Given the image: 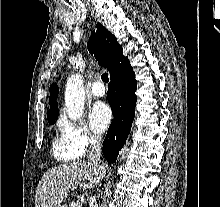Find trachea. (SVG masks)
Returning <instances> with one entry per match:
<instances>
[{"instance_id": "1", "label": "trachea", "mask_w": 220, "mask_h": 207, "mask_svg": "<svg viewBox=\"0 0 220 207\" xmlns=\"http://www.w3.org/2000/svg\"><path fill=\"white\" fill-rule=\"evenodd\" d=\"M101 79H102V81H104V82H109V77H108V73H104V74H102L101 75Z\"/></svg>"}]
</instances>
